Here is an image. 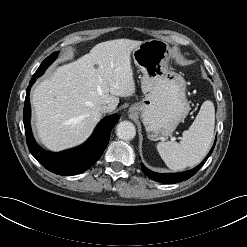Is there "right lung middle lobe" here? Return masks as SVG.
Returning a JSON list of instances; mask_svg holds the SVG:
<instances>
[{"label":"right lung middle lobe","instance_id":"obj_1","mask_svg":"<svg viewBox=\"0 0 247 247\" xmlns=\"http://www.w3.org/2000/svg\"><path fill=\"white\" fill-rule=\"evenodd\" d=\"M58 52L52 53L50 56H48L40 65V67L37 69L36 73L34 74V77L38 78L40 75L44 73V69H46L57 57Z\"/></svg>","mask_w":247,"mask_h":247}]
</instances>
